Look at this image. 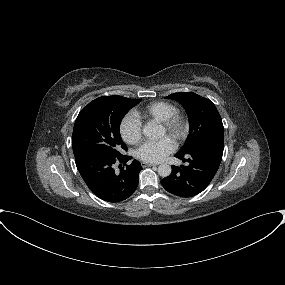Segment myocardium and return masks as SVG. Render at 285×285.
I'll return each instance as SVG.
<instances>
[{
	"label": "myocardium",
	"instance_id": "myocardium-1",
	"mask_svg": "<svg viewBox=\"0 0 285 285\" xmlns=\"http://www.w3.org/2000/svg\"><path fill=\"white\" fill-rule=\"evenodd\" d=\"M161 125L166 133L177 142L182 141L187 134V122L177 111L162 121Z\"/></svg>",
	"mask_w": 285,
	"mask_h": 285
}]
</instances>
